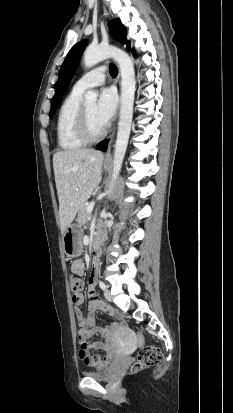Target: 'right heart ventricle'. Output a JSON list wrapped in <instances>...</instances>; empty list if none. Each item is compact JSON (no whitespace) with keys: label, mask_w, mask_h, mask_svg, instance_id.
<instances>
[{"label":"right heart ventricle","mask_w":233,"mask_h":413,"mask_svg":"<svg viewBox=\"0 0 233 413\" xmlns=\"http://www.w3.org/2000/svg\"><path fill=\"white\" fill-rule=\"evenodd\" d=\"M82 91L72 89L64 99L57 117L56 133L60 149L75 151L82 148L84 143L77 135L76 125L82 106Z\"/></svg>","instance_id":"obj_1"}]
</instances>
